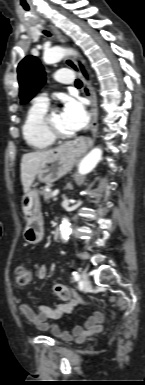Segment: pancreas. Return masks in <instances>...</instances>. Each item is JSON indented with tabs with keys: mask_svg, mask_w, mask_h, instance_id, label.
Here are the masks:
<instances>
[{
	"mask_svg": "<svg viewBox=\"0 0 145 385\" xmlns=\"http://www.w3.org/2000/svg\"><path fill=\"white\" fill-rule=\"evenodd\" d=\"M50 187V186H48ZM43 196L45 201H49L50 198L52 197V191L51 190H46V188L43 190Z\"/></svg>",
	"mask_w": 145,
	"mask_h": 385,
	"instance_id": "pancreas-1",
	"label": "pancreas"
}]
</instances>
